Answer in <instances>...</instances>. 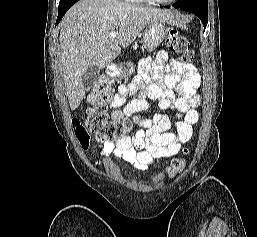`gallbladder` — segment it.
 Wrapping results in <instances>:
<instances>
[{
	"instance_id": "obj_1",
	"label": "gallbladder",
	"mask_w": 257,
	"mask_h": 237,
	"mask_svg": "<svg viewBox=\"0 0 257 237\" xmlns=\"http://www.w3.org/2000/svg\"><path fill=\"white\" fill-rule=\"evenodd\" d=\"M100 76V69L95 66H89L82 76V84L86 91H89L98 81Z\"/></svg>"
}]
</instances>
